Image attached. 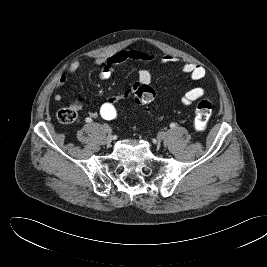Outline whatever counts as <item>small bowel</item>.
Masks as SVG:
<instances>
[{
    "label": "small bowel",
    "instance_id": "1",
    "mask_svg": "<svg viewBox=\"0 0 267 267\" xmlns=\"http://www.w3.org/2000/svg\"><path fill=\"white\" fill-rule=\"evenodd\" d=\"M154 58V56L150 53L141 51V50H122L114 54L106 61H102L101 59L97 60V63L101 65V70L99 73V77L101 79H109L114 74L115 68L125 63L129 60H141V61H150ZM176 59L171 55H166L160 59V64L163 66H167L174 62ZM78 62H73L67 70L61 75L59 78L56 87L61 88L67 81V78L73 75L78 69ZM183 72L187 74L192 80L199 81L202 80L205 76V70L200 65H196L193 63L185 64L183 67ZM152 80V72L149 68H144L139 71L137 83H135L132 87L122 90L116 95L112 96L116 100L120 101L125 98H128L132 93H135L136 88L142 84H150ZM204 94V89L202 87H195L189 90L184 97L182 98V103L184 105H190ZM63 99V94L61 92H56L54 94L55 101H61ZM87 104V100L85 98H78L74 101L73 107L75 109H81L84 105ZM91 116H96V111L90 112Z\"/></svg>",
    "mask_w": 267,
    "mask_h": 267
}]
</instances>
